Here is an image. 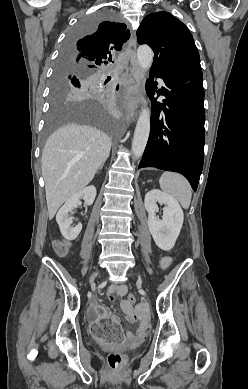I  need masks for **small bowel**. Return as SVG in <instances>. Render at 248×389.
<instances>
[{
  "mask_svg": "<svg viewBox=\"0 0 248 389\" xmlns=\"http://www.w3.org/2000/svg\"><path fill=\"white\" fill-rule=\"evenodd\" d=\"M171 264V258L165 257L163 258L161 265L163 268H167ZM107 297L110 300H114L115 296L121 297V308L124 311V313L127 315V320L129 322H139V327L137 329V332L134 334L132 331H126L125 336L121 340V344L123 346H126L130 349H135L138 346H140L150 332L149 323L147 320L146 312L144 307H137L133 308L131 305L128 304L127 300L123 299L125 295L127 294V288L125 285H119V286H111L107 290ZM107 314V313H106ZM108 317L114 321L118 322V317L114 314H107ZM88 316L90 319H95L96 313L91 310L88 313Z\"/></svg>",
  "mask_w": 248,
  "mask_h": 389,
  "instance_id": "obj_1",
  "label": "small bowel"
}]
</instances>
